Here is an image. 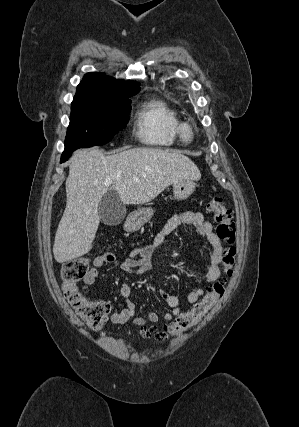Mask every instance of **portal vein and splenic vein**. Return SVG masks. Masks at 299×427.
I'll return each mask as SVG.
<instances>
[{"label":"portal vein and splenic vein","instance_id":"portal-vein-and-splenic-vein-1","mask_svg":"<svg viewBox=\"0 0 299 427\" xmlns=\"http://www.w3.org/2000/svg\"><path fill=\"white\" fill-rule=\"evenodd\" d=\"M134 180H137V178H134ZM111 180H105V182H104V184L106 185V186H110L111 185Z\"/></svg>","mask_w":299,"mask_h":427}]
</instances>
